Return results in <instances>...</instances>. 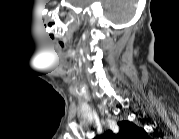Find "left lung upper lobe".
<instances>
[{"instance_id": "5c2ea615", "label": "left lung upper lobe", "mask_w": 179, "mask_h": 139, "mask_svg": "<svg viewBox=\"0 0 179 139\" xmlns=\"http://www.w3.org/2000/svg\"><path fill=\"white\" fill-rule=\"evenodd\" d=\"M120 131L117 135L113 134L111 131H107L104 134L106 139H142L146 137V132L144 129L137 127L129 121L118 122Z\"/></svg>"}]
</instances>
